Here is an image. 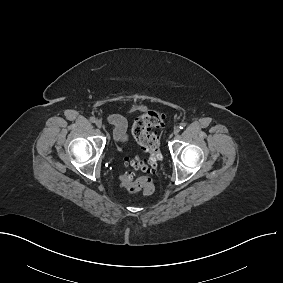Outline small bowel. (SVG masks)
Wrapping results in <instances>:
<instances>
[{
  "label": "small bowel",
  "mask_w": 283,
  "mask_h": 283,
  "mask_svg": "<svg viewBox=\"0 0 283 283\" xmlns=\"http://www.w3.org/2000/svg\"><path fill=\"white\" fill-rule=\"evenodd\" d=\"M108 122L114 126L113 138L116 142H125L128 139V123L125 117L120 114H111L107 118Z\"/></svg>",
  "instance_id": "small-bowel-1"
}]
</instances>
